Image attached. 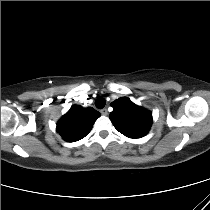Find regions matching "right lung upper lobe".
Segmentation results:
<instances>
[{"label":"right lung upper lobe","instance_id":"obj_1","mask_svg":"<svg viewBox=\"0 0 210 210\" xmlns=\"http://www.w3.org/2000/svg\"><path fill=\"white\" fill-rule=\"evenodd\" d=\"M99 116L100 113L91 107L84 109L73 105L59 120L57 132L68 142L78 141L89 133Z\"/></svg>","mask_w":210,"mask_h":210}]
</instances>
